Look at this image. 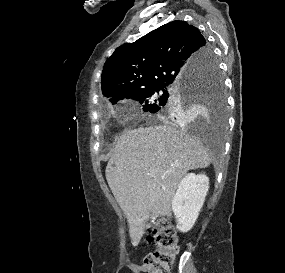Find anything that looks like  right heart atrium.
Segmentation results:
<instances>
[{
	"label": "right heart atrium",
	"instance_id": "right-heart-atrium-1",
	"mask_svg": "<svg viewBox=\"0 0 285 273\" xmlns=\"http://www.w3.org/2000/svg\"><path fill=\"white\" fill-rule=\"evenodd\" d=\"M127 119L126 115L123 116V120L125 121Z\"/></svg>",
	"mask_w": 285,
	"mask_h": 273
}]
</instances>
